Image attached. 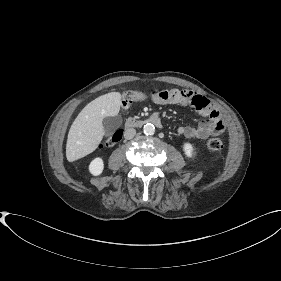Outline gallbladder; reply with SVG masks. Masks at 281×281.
I'll use <instances>...</instances> for the list:
<instances>
[{
	"instance_id": "obj_1",
	"label": "gallbladder",
	"mask_w": 281,
	"mask_h": 281,
	"mask_svg": "<svg viewBox=\"0 0 281 281\" xmlns=\"http://www.w3.org/2000/svg\"><path fill=\"white\" fill-rule=\"evenodd\" d=\"M103 127L105 135H111L122 123L119 115L108 116L103 119Z\"/></svg>"
}]
</instances>
